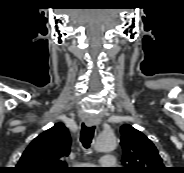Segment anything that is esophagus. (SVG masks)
<instances>
[{
  "instance_id": "34e87169",
  "label": "esophagus",
  "mask_w": 184,
  "mask_h": 173,
  "mask_svg": "<svg viewBox=\"0 0 184 173\" xmlns=\"http://www.w3.org/2000/svg\"><path fill=\"white\" fill-rule=\"evenodd\" d=\"M100 122V118L97 116H90L85 120L87 126L97 125Z\"/></svg>"
}]
</instances>
